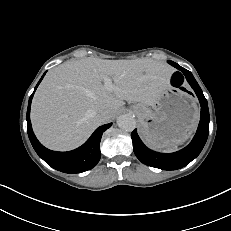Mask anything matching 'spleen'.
<instances>
[{
  "label": "spleen",
  "instance_id": "spleen-1",
  "mask_svg": "<svg viewBox=\"0 0 231 231\" xmlns=\"http://www.w3.org/2000/svg\"><path fill=\"white\" fill-rule=\"evenodd\" d=\"M176 150H178V147L177 146H173V147L166 148L163 151L164 152H173V151H176Z\"/></svg>",
  "mask_w": 231,
  "mask_h": 231
}]
</instances>
